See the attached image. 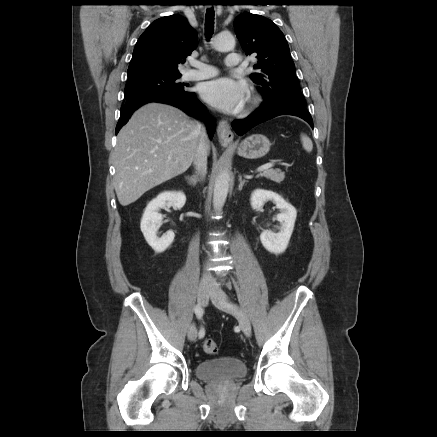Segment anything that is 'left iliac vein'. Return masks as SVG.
I'll return each instance as SVG.
<instances>
[{
  "instance_id": "obj_1",
  "label": "left iliac vein",
  "mask_w": 437,
  "mask_h": 437,
  "mask_svg": "<svg viewBox=\"0 0 437 437\" xmlns=\"http://www.w3.org/2000/svg\"><path fill=\"white\" fill-rule=\"evenodd\" d=\"M210 298L216 307L236 316L243 333L247 337H250L251 324L246 313L240 307L231 303L226 294L220 289H213L211 291Z\"/></svg>"
}]
</instances>
